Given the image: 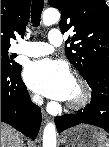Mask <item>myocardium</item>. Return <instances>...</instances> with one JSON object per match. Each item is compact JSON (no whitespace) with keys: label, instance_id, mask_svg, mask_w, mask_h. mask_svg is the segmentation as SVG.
Instances as JSON below:
<instances>
[{"label":"myocardium","instance_id":"f54148a6","mask_svg":"<svg viewBox=\"0 0 109 147\" xmlns=\"http://www.w3.org/2000/svg\"><path fill=\"white\" fill-rule=\"evenodd\" d=\"M73 80L80 86L81 96L77 101H67L66 106L69 110L78 111L89 104L92 98V91L86 79L81 75L75 74Z\"/></svg>","mask_w":109,"mask_h":147}]
</instances>
